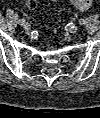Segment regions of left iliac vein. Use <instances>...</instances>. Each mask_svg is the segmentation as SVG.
I'll use <instances>...</instances> for the list:
<instances>
[{
    "label": "left iliac vein",
    "instance_id": "obj_1",
    "mask_svg": "<svg viewBox=\"0 0 100 118\" xmlns=\"http://www.w3.org/2000/svg\"><path fill=\"white\" fill-rule=\"evenodd\" d=\"M77 31H78V27H77V26H74V27H72V28L69 30V33H70V34H75Z\"/></svg>",
    "mask_w": 100,
    "mask_h": 118
}]
</instances>
